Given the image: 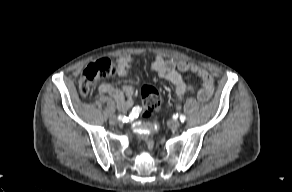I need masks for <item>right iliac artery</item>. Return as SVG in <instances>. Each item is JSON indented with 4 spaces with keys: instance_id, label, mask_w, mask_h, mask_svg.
<instances>
[{
    "instance_id": "right-iliac-artery-1",
    "label": "right iliac artery",
    "mask_w": 292,
    "mask_h": 192,
    "mask_svg": "<svg viewBox=\"0 0 292 192\" xmlns=\"http://www.w3.org/2000/svg\"><path fill=\"white\" fill-rule=\"evenodd\" d=\"M140 110L141 109H140L139 106L133 108L132 112L128 114V116L130 117L129 122L134 123V122L137 121V119H138V116L137 115L139 114Z\"/></svg>"
}]
</instances>
